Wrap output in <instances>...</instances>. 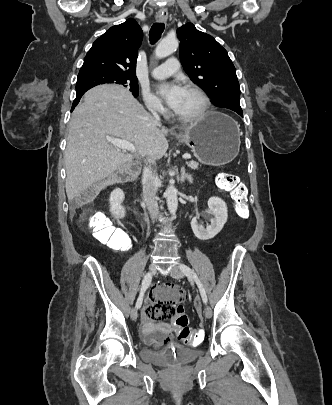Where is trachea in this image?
Returning a JSON list of instances; mask_svg holds the SVG:
<instances>
[{
  "label": "trachea",
  "mask_w": 332,
  "mask_h": 405,
  "mask_svg": "<svg viewBox=\"0 0 332 405\" xmlns=\"http://www.w3.org/2000/svg\"><path fill=\"white\" fill-rule=\"evenodd\" d=\"M164 27L165 25L163 23H155L152 25L149 33V40L151 44H155L161 38Z\"/></svg>",
  "instance_id": "1"
}]
</instances>
